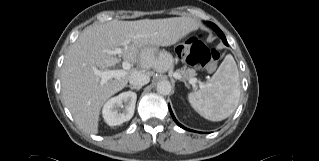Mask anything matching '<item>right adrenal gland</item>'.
I'll list each match as a JSON object with an SVG mask.
<instances>
[{
    "label": "right adrenal gland",
    "instance_id": "right-adrenal-gland-1",
    "mask_svg": "<svg viewBox=\"0 0 319 161\" xmlns=\"http://www.w3.org/2000/svg\"><path fill=\"white\" fill-rule=\"evenodd\" d=\"M127 87H129L130 89H134L136 91H139L141 89V87H135V86H131V85H128Z\"/></svg>",
    "mask_w": 319,
    "mask_h": 161
}]
</instances>
